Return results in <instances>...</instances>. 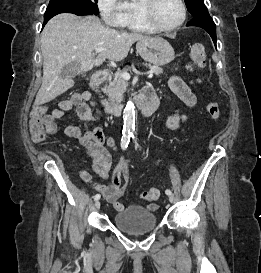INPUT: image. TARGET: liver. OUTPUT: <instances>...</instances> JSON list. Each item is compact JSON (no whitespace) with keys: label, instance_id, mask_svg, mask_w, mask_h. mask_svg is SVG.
Instances as JSON below:
<instances>
[{"label":"liver","instance_id":"1","mask_svg":"<svg viewBox=\"0 0 261 273\" xmlns=\"http://www.w3.org/2000/svg\"><path fill=\"white\" fill-rule=\"evenodd\" d=\"M148 38L105 27L96 16L81 18L71 13L54 16L41 35L43 78L35 105L48 103L74 86L71 77L60 76L65 65L77 62L79 70L87 72L106 59L122 61L136 41ZM100 47L104 50L95 57L93 51Z\"/></svg>","mask_w":261,"mask_h":273}]
</instances>
